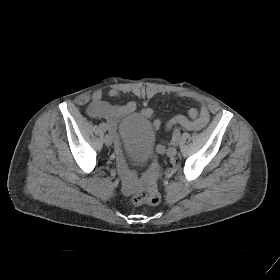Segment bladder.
I'll use <instances>...</instances> for the list:
<instances>
[{
    "mask_svg": "<svg viewBox=\"0 0 280 280\" xmlns=\"http://www.w3.org/2000/svg\"><path fill=\"white\" fill-rule=\"evenodd\" d=\"M119 139L127 159L134 165L144 164L153 150L156 132L149 119L132 114L118 127Z\"/></svg>",
    "mask_w": 280,
    "mask_h": 280,
    "instance_id": "31cf9c89",
    "label": "bladder"
}]
</instances>
